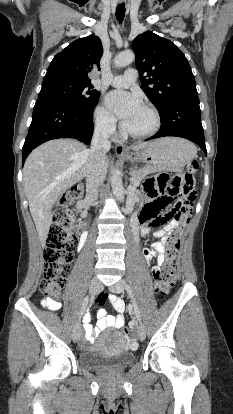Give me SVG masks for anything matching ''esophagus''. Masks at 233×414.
<instances>
[{"label": "esophagus", "instance_id": "1", "mask_svg": "<svg viewBox=\"0 0 233 414\" xmlns=\"http://www.w3.org/2000/svg\"><path fill=\"white\" fill-rule=\"evenodd\" d=\"M122 1V0H120ZM115 152L118 156L125 155L128 153V150L123 144H117L115 147Z\"/></svg>", "mask_w": 233, "mask_h": 414}]
</instances>
